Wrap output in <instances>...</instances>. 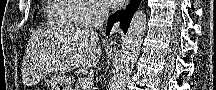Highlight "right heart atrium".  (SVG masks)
I'll return each mask as SVG.
<instances>
[{"label": "right heart atrium", "instance_id": "1", "mask_svg": "<svg viewBox=\"0 0 216 90\" xmlns=\"http://www.w3.org/2000/svg\"><path fill=\"white\" fill-rule=\"evenodd\" d=\"M71 2L78 3L79 6H86L80 16L81 20H97L103 12L100 6L92 5V0H71Z\"/></svg>", "mask_w": 216, "mask_h": 90}]
</instances>
